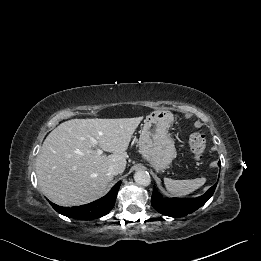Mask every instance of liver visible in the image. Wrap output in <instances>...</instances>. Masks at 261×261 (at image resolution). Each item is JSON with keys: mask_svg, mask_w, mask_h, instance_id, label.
Here are the masks:
<instances>
[{"mask_svg": "<svg viewBox=\"0 0 261 261\" xmlns=\"http://www.w3.org/2000/svg\"><path fill=\"white\" fill-rule=\"evenodd\" d=\"M142 119H72L61 123L46 137L37 157L40 191L61 206H78L103 196L113 180L108 168L118 165L125 170L126 150ZM90 137L112 154L99 155Z\"/></svg>", "mask_w": 261, "mask_h": 261, "instance_id": "obj_1", "label": "liver"}]
</instances>
